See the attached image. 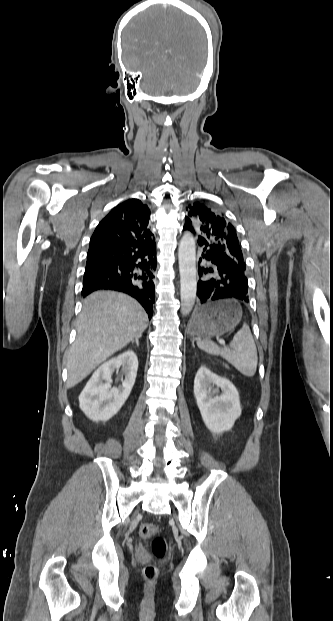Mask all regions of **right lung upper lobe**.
Listing matches in <instances>:
<instances>
[{
	"label": "right lung upper lobe",
	"instance_id": "cb5924a9",
	"mask_svg": "<svg viewBox=\"0 0 333 621\" xmlns=\"http://www.w3.org/2000/svg\"><path fill=\"white\" fill-rule=\"evenodd\" d=\"M150 210L138 199H128L113 208L96 227L88 254L134 252L155 245L148 223Z\"/></svg>",
	"mask_w": 333,
	"mask_h": 621
}]
</instances>
